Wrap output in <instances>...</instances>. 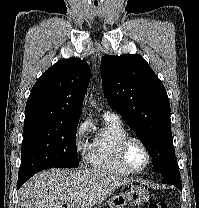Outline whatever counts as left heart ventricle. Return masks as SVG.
Masks as SVG:
<instances>
[{
    "label": "left heart ventricle",
    "mask_w": 199,
    "mask_h": 208,
    "mask_svg": "<svg viewBox=\"0 0 199 208\" xmlns=\"http://www.w3.org/2000/svg\"><path fill=\"white\" fill-rule=\"evenodd\" d=\"M128 160L135 168H141L146 162V154L142 146L137 142H132L128 147Z\"/></svg>",
    "instance_id": "left-heart-ventricle-1"
}]
</instances>
